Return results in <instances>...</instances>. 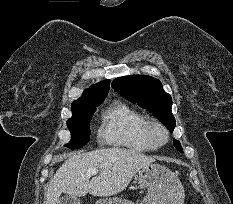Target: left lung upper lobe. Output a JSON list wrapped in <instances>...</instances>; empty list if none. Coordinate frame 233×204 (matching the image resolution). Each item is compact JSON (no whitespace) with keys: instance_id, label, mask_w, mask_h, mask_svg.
<instances>
[{"instance_id":"obj_1","label":"left lung upper lobe","mask_w":233,"mask_h":204,"mask_svg":"<svg viewBox=\"0 0 233 204\" xmlns=\"http://www.w3.org/2000/svg\"><path fill=\"white\" fill-rule=\"evenodd\" d=\"M116 92L151 111L167 128L173 132L175 118L172 115V99L162 87L159 80L142 75L124 76L112 82ZM176 149L183 153L179 141L174 140Z\"/></svg>"}]
</instances>
